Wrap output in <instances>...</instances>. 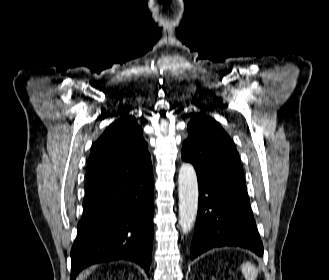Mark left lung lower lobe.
<instances>
[{"label":"left lung lower lobe","instance_id":"1","mask_svg":"<svg viewBox=\"0 0 329 280\" xmlns=\"http://www.w3.org/2000/svg\"><path fill=\"white\" fill-rule=\"evenodd\" d=\"M226 186L199 185L197 223L191 244V258L219 247H241L263 256L245 181L227 171Z\"/></svg>","mask_w":329,"mask_h":280}]
</instances>
